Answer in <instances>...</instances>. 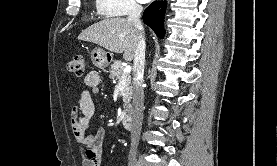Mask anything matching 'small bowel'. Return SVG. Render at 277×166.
<instances>
[{"instance_id": "obj_1", "label": "small bowel", "mask_w": 277, "mask_h": 166, "mask_svg": "<svg viewBox=\"0 0 277 166\" xmlns=\"http://www.w3.org/2000/svg\"><path fill=\"white\" fill-rule=\"evenodd\" d=\"M83 84L78 105L71 109V130L82 156V166H101L106 131L99 127L92 134L86 133L89 121L95 113L92 95L99 91L100 75L94 71L89 72L84 77Z\"/></svg>"}]
</instances>
